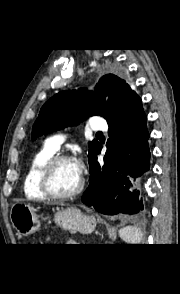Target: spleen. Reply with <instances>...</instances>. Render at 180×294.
<instances>
[{"instance_id":"obj_1","label":"spleen","mask_w":180,"mask_h":294,"mask_svg":"<svg viewBox=\"0 0 180 294\" xmlns=\"http://www.w3.org/2000/svg\"><path fill=\"white\" fill-rule=\"evenodd\" d=\"M120 237L129 244H138L142 239V232L134 226H125L119 230Z\"/></svg>"}]
</instances>
